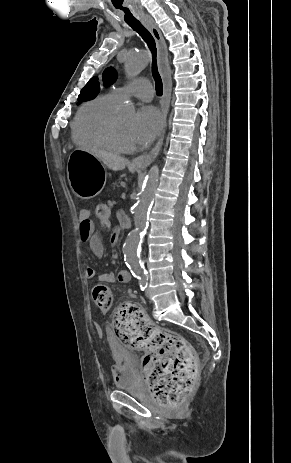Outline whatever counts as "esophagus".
<instances>
[{
    "label": "esophagus",
    "instance_id": "34e87169",
    "mask_svg": "<svg viewBox=\"0 0 291 463\" xmlns=\"http://www.w3.org/2000/svg\"><path fill=\"white\" fill-rule=\"evenodd\" d=\"M142 23L144 26L151 32L152 36L154 37L157 49H158V66L159 70L162 75L163 79V86L164 92L163 97L161 100V111H162V129L160 133V137L157 140L153 149L146 154H142L132 160V164L137 165L139 167H147L149 166L154 159L158 156L161 146L163 144L165 129L167 124V113H168V105L170 100L172 82H171V75L169 69V61H168V53H167V46L166 42L162 36L160 29L158 28L157 24L150 16H146L142 18Z\"/></svg>",
    "mask_w": 291,
    "mask_h": 463
}]
</instances>
